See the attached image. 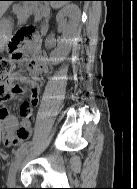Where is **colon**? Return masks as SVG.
Masks as SVG:
<instances>
[{
	"mask_svg": "<svg viewBox=\"0 0 137 189\" xmlns=\"http://www.w3.org/2000/svg\"><path fill=\"white\" fill-rule=\"evenodd\" d=\"M36 38L35 30L29 27L20 28L11 37L8 43V56H0V85L4 84L11 75L14 62L22 59L21 48L27 42ZM22 109L27 111V115L32 113V106L28 102L22 104Z\"/></svg>",
	"mask_w": 137,
	"mask_h": 189,
	"instance_id": "1",
	"label": "colon"
}]
</instances>
